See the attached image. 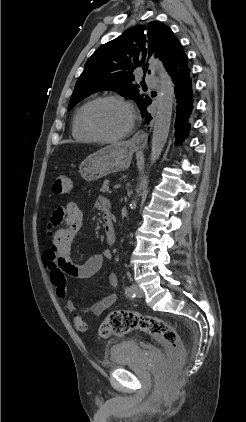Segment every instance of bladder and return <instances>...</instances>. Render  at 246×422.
Here are the masks:
<instances>
[{"instance_id": "bladder-1", "label": "bladder", "mask_w": 246, "mask_h": 422, "mask_svg": "<svg viewBox=\"0 0 246 422\" xmlns=\"http://www.w3.org/2000/svg\"><path fill=\"white\" fill-rule=\"evenodd\" d=\"M142 349L138 341L133 339L122 340L113 344L109 349V365L113 368H122L138 362ZM154 365L162 369L166 365V357L159 349L151 351Z\"/></svg>"}]
</instances>
